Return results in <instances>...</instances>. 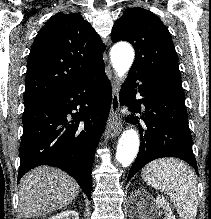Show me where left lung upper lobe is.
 Wrapping results in <instances>:
<instances>
[{"instance_id":"left-lung-upper-lobe-1","label":"left lung upper lobe","mask_w":211,"mask_h":219,"mask_svg":"<svg viewBox=\"0 0 211 219\" xmlns=\"http://www.w3.org/2000/svg\"><path fill=\"white\" fill-rule=\"evenodd\" d=\"M111 39L113 42L125 40L135 47L132 70L181 77L171 35L161 20L150 11L127 9L115 22Z\"/></svg>"}]
</instances>
